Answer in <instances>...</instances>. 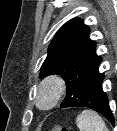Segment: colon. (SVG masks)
<instances>
[{
  "label": "colon",
  "instance_id": "colon-1",
  "mask_svg": "<svg viewBox=\"0 0 117 131\" xmlns=\"http://www.w3.org/2000/svg\"><path fill=\"white\" fill-rule=\"evenodd\" d=\"M45 131H69V129L65 126L56 125L50 129H47Z\"/></svg>",
  "mask_w": 117,
  "mask_h": 131
}]
</instances>
